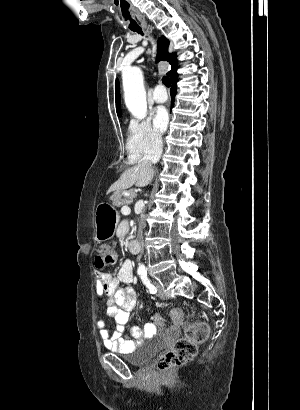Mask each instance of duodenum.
I'll list each match as a JSON object with an SVG mask.
<instances>
[{
	"mask_svg": "<svg viewBox=\"0 0 300 410\" xmlns=\"http://www.w3.org/2000/svg\"><path fill=\"white\" fill-rule=\"evenodd\" d=\"M128 248L130 250V252L132 253H138L139 252V244L137 240H132L129 242L128 244Z\"/></svg>",
	"mask_w": 300,
	"mask_h": 410,
	"instance_id": "obj_1",
	"label": "duodenum"
}]
</instances>
